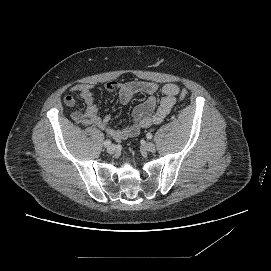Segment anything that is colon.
I'll return each instance as SVG.
<instances>
[{"mask_svg":"<svg viewBox=\"0 0 271 271\" xmlns=\"http://www.w3.org/2000/svg\"><path fill=\"white\" fill-rule=\"evenodd\" d=\"M187 95H188L187 90L182 89V90H180V92L178 94V97H179L180 100H183V99H185L187 97Z\"/></svg>","mask_w":271,"mask_h":271,"instance_id":"obj_1","label":"colon"}]
</instances>
